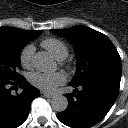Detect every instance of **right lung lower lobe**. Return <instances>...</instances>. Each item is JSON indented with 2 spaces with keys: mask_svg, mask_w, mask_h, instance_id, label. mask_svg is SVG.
I'll list each match as a JSON object with an SVG mask.
<instances>
[{
  "mask_svg": "<svg viewBox=\"0 0 128 128\" xmlns=\"http://www.w3.org/2000/svg\"><path fill=\"white\" fill-rule=\"evenodd\" d=\"M12 88L23 87V92L17 96L11 94ZM40 96V91L30 85L24 77L13 81L0 80V128H17L27 118L30 105L34 98Z\"/></svg>",
  "mask_w": 128,
  "mask_h": 128,
  "instance_id": "right-lung-lower-lobe-1",
  "label": "right lung lower lobe"
}]
</instances>
